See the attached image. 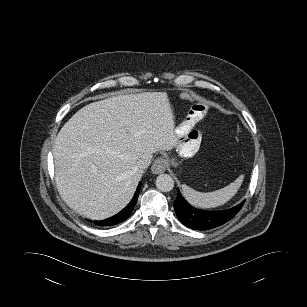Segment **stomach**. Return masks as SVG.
Returning a JSON list of instances; mask_svg holds the SVG:
<instances>
[{"instance_id":"obj_1","label":"stomach","mask_w":307,"mask_h":307,"mask_svg":"<svg viewBox=\"0 0 307 307\" xmlns=\"http://www.w3.org/2000/svg\"><path fill=\"white\" fill-rule=\"evenodd\" d=\"M201 141V136L197 132H193L189 134L188 137L178 140L177 149L179 154L183 157H191L193 156L199 149ZM171 165L177 166L178 163L172 159L170 160Z\"/></svg>"}]
</instances>
